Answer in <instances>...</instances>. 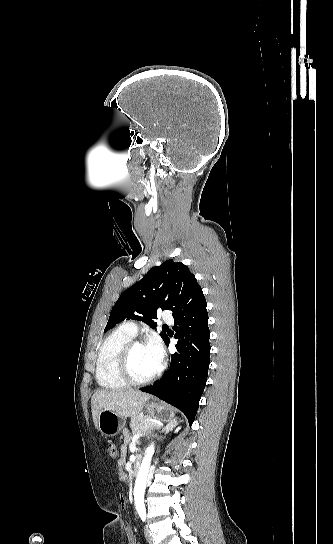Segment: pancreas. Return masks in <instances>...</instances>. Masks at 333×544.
Returning a JSON list of instances; mask_svg holds the SVG:
<instances>
[{
  "label": "pancreas",
  "mask_w": 333,
  "mask_h": 544,
  "mask_svg": "<svg viewBox=\"0 0 333 544\" xmlns=\"http://www.w3.org/2000/svg\"><path fill=\"white\" fill-rule=\"evenodd\" d=\"M132 433H137L139 431H149L153 428H159V425L152 421L150 416L140 415L131 420L130 424Z\"/></svg>",
  "instance_id": "cf45deb5"
}]
</instances>
